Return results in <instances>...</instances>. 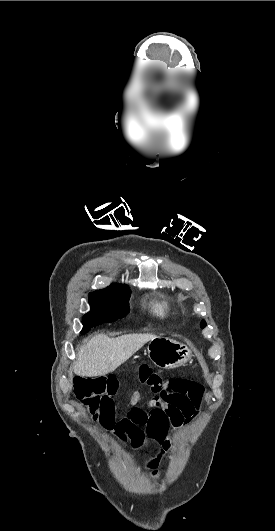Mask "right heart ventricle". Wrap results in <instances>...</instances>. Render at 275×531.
I'll use <instances>...</instances> for the list:
<instances>
[{
    "label": "right heart ventricle",
    "instance_id": "e07e8e85",
    "mask_svg": "<svg viewBox=\"0 0 275 531\" xmlns=\"http://www.w3.org/2000/svg\"><path fill=\"white\" fill-rule=\"evenodd\" d=\"M150 307L156 315L160 317H167L170 314L173 305L165 297L155 296L150 302Z\"/></svg>",
    "mask_w": 275,
    "mask_h": 531
}]
</instances>
